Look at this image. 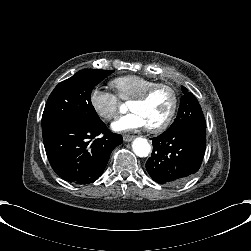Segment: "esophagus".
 <instances>
[{"instance_id":"1","label":"esophagus","mask_w":251,"mask_h":251,"mask_svg":"<svg viewBox=\"0 0 251 251\" xmlns=\"http://www.w3.org/2000/svg\"><path fill=\"white\" fill-rule=\"evenodd\" d=\"M134 138H135L134 135H127V134L123 135V139L125 142L132 141Z\"/></svg>"}]
</instances>
